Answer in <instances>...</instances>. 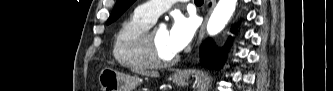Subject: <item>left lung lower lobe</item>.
Listing matches in <instances>:
<instances>
[{"label": "left lung lower lobe", "mask_w": 333, "mask_h": 91, "mask_svg": "<svg viewBox=\"0 0 333 91\" xmlns=\"http://www.w3.org/2000/svg\"><path fill=\"white\" fill-rule=\"evenodd\" d=\"M229 46L230 41L227 42V45L224 48L225 51ZM199 56L201 65L209 69H218L223 61L211 39H207L202 43L199 50Z\"/></svg>", "instance_id": "obj_1"}]
</instances>
